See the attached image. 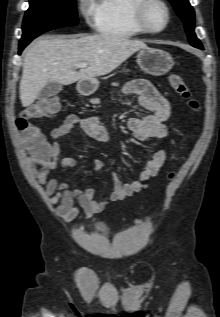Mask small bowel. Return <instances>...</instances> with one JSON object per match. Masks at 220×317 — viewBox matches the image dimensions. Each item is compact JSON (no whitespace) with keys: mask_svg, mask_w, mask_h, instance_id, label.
<instances>
[{"mask_svg":"<svg viewBox=\"0 0 220 317\" xmlns=\"http://www.w3.org/2000/svg\"><path fill=\"white\" fill-rule=\"evenodd\" d=\"M124 93L136 99L138 104L148 111L144 117H134L129 121V129L133 136L140 141H165L169 136V129L164 124L170 114L169 101L146 79H137L129 82L124 87ZM89 138L109 143L112 135L109 130L95 117L79 118L76 115L68 116L58 127L54 128L50 135L52 138V154L49 163L44 168L32 166L37 181L45 186V192L49 196L50 203L57 206L58 216L66 222L74 220L79 214V207L89 218L101 212L109 203L123 200L134 193L147 188L148 182L155 177L166 160V150L160 148L148 156L139 177L128 184H123L117 173L113 172L111 178L114 190L103 200L94 198V189L84 190L70 189L68 184L59 183L56 178L50 177L52 171L59 169L65 172L77 166V159L62 156L59 139L71 133L75 128ZM105 163L101 159H95L93 168L101 171Z\"/></svg>","mask_w":220,"mask_h":317,"instance_id":"c3829d8e","label":"small bowel"}]
</instances>
